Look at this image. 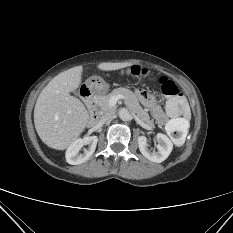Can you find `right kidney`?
<instances>
[{"label":"right kidney","mask_w":233,"mask_h":233,"mask_svg":"<svg viewBox=\"0 0 233 233\" xmlns=\"http://www.w3.org/2000/svg\"><path fill=\"white\" fill-rule=\"evenodd\" d=\"M98 142L97 136L84 137L83 139H76L66 151V161L71 165H78L86 162L94 153ZM87 145L83 153H79L81 148Z\"/></svg>","instance_id":"ca27d5eb"}]
</instances>
